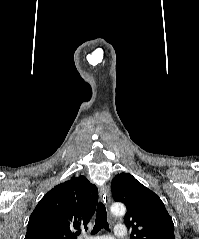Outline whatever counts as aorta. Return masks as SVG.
Here are the masks:
<instances>
[{"instance_id": "1", "label": "aorta", "mask_w": 199, "mask_h": 239, "mask_svg": "<svg viewBox=\"0 0 199 239\" xmlns=\"http://www.w3.org/2000/svg\"><path fill=\"white\" fill-rule=\"evenodd\" d=\"M111 213L115 216H123L126 213V207L122 203H114L111 206Z\"/></svg>"}]
</instances>
